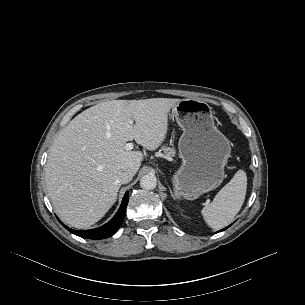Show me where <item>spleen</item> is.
<instances>
[{
    "label": "spleen",
    "mask_w": 305,
    "mask_h": 305,
    "mask_svg": "<svg viewBox=\"0 0 305 305\" xmlns=\"http://www.w3.org/2000/svg\"><path fill=\"white\" fill-rule=\"evenodd\" d=\"M246 190V173L238 170L217 193L212 203L202 209L201 213L207 225L213 229H220L232 222L244 203Z\"/></svg>",
    "instance_id": "1"
}]
</instances>
